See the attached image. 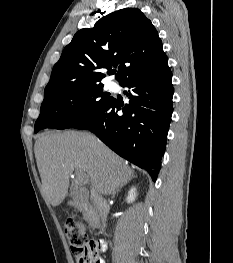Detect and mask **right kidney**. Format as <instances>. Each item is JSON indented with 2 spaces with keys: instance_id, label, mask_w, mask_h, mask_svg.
Instances as JSON below:
<instances>
[{
  "instance_id": "obj_1",
  "label": "right kidney",
  "mask_w": 233,
  "mask_h": 263,
  "mask_svg": "<svg viewBox=\"0 0 233 263\" xmlns=\"http://www.w3.org/2000/svg\"><path fill=\"white\" fill-rule=\"evenodd\" d=\"M136 196H137V193H136V188L135 187H132L129 192H128V196L126 198V201L127 203H132L133 201H135L136 199Z\"/></svg>"
}]
</instances>
